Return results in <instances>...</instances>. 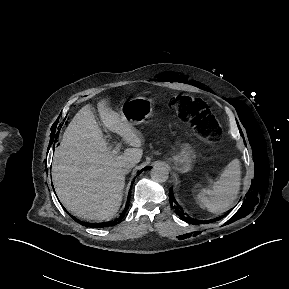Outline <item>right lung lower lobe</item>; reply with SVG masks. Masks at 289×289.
<instances>
[{"label": "right lung lower lobe", "mask_w": 289, "mask_h": 289, "mask_svg": "<svg viewBox=\"0 0 289 289\" xmlns=\"http://www.w3.org/2000/svg\"><path fill=\"white\" fill-rule=\"evenodd\" d=\"M145 169V168H144ZM142 171V170H141ZM140 171V172H141ZM139 172V173H140ZM138 173V174H139ZM129 199H130V195H129V198H128V202H127V205L124 209V211L122 212L121 216L113 221H109V222H104V223H98V224H91V223H83L81 221H79L78 219H76L75 217L71 216L75 221H77L78 223L82 224L83 226H86V227H92V228H102V227H109V226H113V225H116V224H119L121 222V219L124 217V214L127 210V208L129 207Z\"/></svg>", "instance_id": "right-lung-lower-lobe-1"}]
</instances>
